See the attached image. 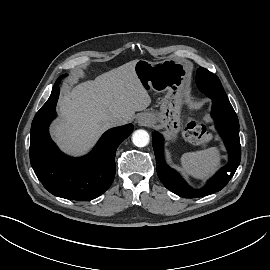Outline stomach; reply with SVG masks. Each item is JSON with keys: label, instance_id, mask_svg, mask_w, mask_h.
I'll return each mask as SVG.
<instances>
[{"label": "stomach", "instance_id": "0dacf381", "mask_svg": "<svg viewBox=\"0 0 270 270\" xmlns=\"http://www.w3.org/2000/svg\"><path fill=\"white\" fill-rule=\"evenodd\" d=\"M134 71L145 88L163 95L159 111L151 113L152 125L164 129L166 137L175 141L181 129V109L190 75L189 63L178 59L160 62L140 59Z\"/></svg>", "mask_w": 270, "mask_h": 270}]
</instances>
